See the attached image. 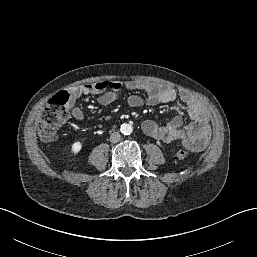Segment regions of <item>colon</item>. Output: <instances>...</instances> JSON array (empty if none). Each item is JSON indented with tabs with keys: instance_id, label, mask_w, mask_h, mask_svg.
<instances>
[{
	"instance_id": "1",
	"label": "colon",
	"mask_w": 257,
	"mask_h": 257,
	"mask_svg": "<svg viewBox=\"0 0 257 257\" xmlns=\"http://www.w3.org/2000/svg\"><path fill=\"white\" fill-rule=\"evenodd\" d=\"M71 96L67 91L56 93L43 107L37 121L39 137L45 142L58 138V131L69 117V104ZM189 156V151L182 149L175 154L177 160H184Z\"/></svg>"
}]
</instances>
